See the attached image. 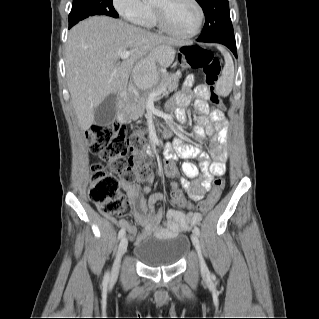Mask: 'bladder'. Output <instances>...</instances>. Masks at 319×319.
Returning <instances> with one entry per match:
<instances>
[{"instance_id":"bladder-1","label":"bladder","mask_w":319,"mask_h":319,"mask_svg":"<svg viewBox=\"0 0 319 319\" xmlns=\"http://www.w3.org/2000/svg\"><path fill=\"white\" fill-rule=\"evenodd\" d=\"M190 249L191 241L188 235H147L135 243L134 256L145 266L162 267L180 262Z\"/></svg>"}]
</instances>
